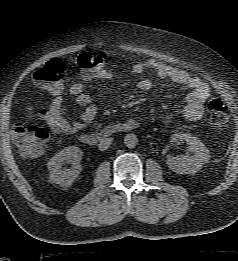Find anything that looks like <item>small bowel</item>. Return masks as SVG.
Segmentation results:
<instances>
[{
	"label": "small bowel",
	"mask_w": 238,
	"mask_h": 261,
	"mask_svg": "<svg viewBox=\"0 0 238 261\" xmlns=\"http://www.w3.org/2000/svg\"><path fill=\"white\" fill-rule=\"evenodd\" d=\"M148 69L155 70L161 79H170L174 83L189 89L186 103L181 110V117L184 120L197 121L202 118L204 105L210 97V90L205 82L198 77L192 76L185 70L165 64L157 59L140 61L133 66L135 73H142ZM112 77V72L104 68L94 72H84L82 81L76 82L70 87L69 93L74 97L75 103L83 108L78 120H72L67 117L61 92L53 93L54 98L44 111V120L49 128L55 133L69 134L84 129L94 120L97 113L96 105L91 97L84 92L85 83L94 80H110ZM151 87L152 81L149 78H143L138 82V88L142 91H148ZM165 120L170 122L172 116H167Z\"/></svg>",
	"instance_id": "c3829d8e"
}]
</instances>
